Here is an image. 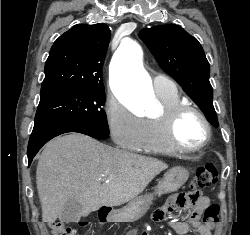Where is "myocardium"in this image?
<instances>
[{
	"instance_id": "obj_1",
	"label": "myocardium",
	"mask_w": 250,
	"mask_h": 235,
	"mask_svg": "<svg viewBox=\"0 0 250 235\" xmlns=\"http://www.w3.org/2000/svg\"><path fill=\"white\" fill-rule=\"evenodd\" d=\"M187 112L196 113L201 118L205 126V131H206L205 137L203 141L196 147H188V146L182 145L178 141L177 136H176V128H177L178 121L180 117ZM159 117L163 120V123H164L165 137L168 143L176 151L183 152V153L199 152L202 149H204L211 140V136H212L211 123L208 117L206 116V114L204 113V111L200 109L198 106L180 102L171 108L163 109Z\"/></svg>"
}]
</instances>
